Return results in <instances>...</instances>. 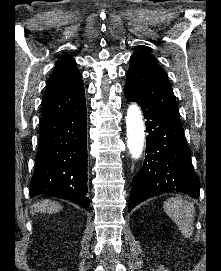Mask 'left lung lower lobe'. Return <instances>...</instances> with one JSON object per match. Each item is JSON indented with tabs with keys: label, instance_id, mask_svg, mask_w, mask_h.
I'll return each mask as SVG.
<instances>
[{
	"label": "left lung lower lobe",
	"instance_id": "1",
	"mask_svg": "<svg viewBox=\"0 0 221 271\" xmlns=\"http://www.w3.org/2000/svg\"><path fill=\"white\" fill-rule=\"evenodd\" d=\"M124 93L128 101H135L142 108L148 132L147 155L140 172L133 178L129 212L149 197L173 191L198 199L199 179L180 118L166 113L128 85Z\"/></svg>",
	"mask_w": 221,
	"mask_h": 271
}]
</instances>
